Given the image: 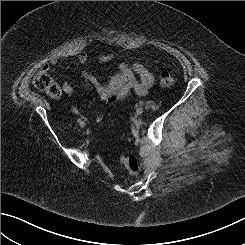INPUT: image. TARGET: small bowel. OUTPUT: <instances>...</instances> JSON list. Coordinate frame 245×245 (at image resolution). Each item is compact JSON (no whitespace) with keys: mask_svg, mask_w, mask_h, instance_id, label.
Here are the masks:
<instances>
[{"mask_svg":"<svg viewBox=\"0 0 245 245\" xmlns=\"http://www.w3.org/2000/svg\"><path fill=\"white\" fill-rule=\"evenodd\" d=\"M110 59L109 55L100 58V62H106ZM88 55L81 53L78 55V61L81 64L86 63ZM51 65L57 64V59L50 61ZM46 69V67L44 68ZM81 76L95 89L101 100L107 104H111L117 100L125 98L131 90H134L138 95H146L154 84V77L149 70L141 63L122 62L118 67V71L111 75L107 83L100 82L93 74L83 70ZM62 91L71 96L74 93V88L68 82L62 84ZM74 111L77 110L74 108ZM103 115L98 113L94 115L93 120L100 122Z\"/></svg>","mask_w":245,"mask_h":245,"instance_id":"c3829d8e","label":"small bowel"}]
</instances>
